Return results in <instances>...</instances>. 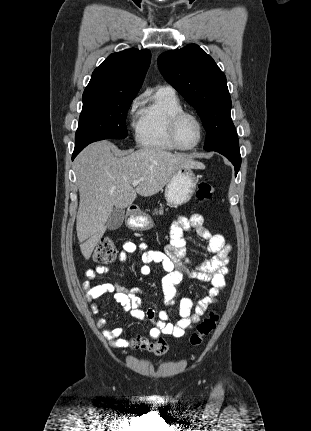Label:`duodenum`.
<instances>
[{
	"label": "duodenum",
	"mask_w": 311,
	"mask_h": 431,
	"mask_svg": "<svg viewBox=\"0 0 311 431\" xmlns=\"http://www.w3.org/2000/svg\"><path fill=\"white\" fill-rule=\"evenodd\" d=\"M138 214V208L136 206H131L129 208V216L134 217Z\"/></svg>",
	"instance_id": "obj_1"
}]
</instances>
